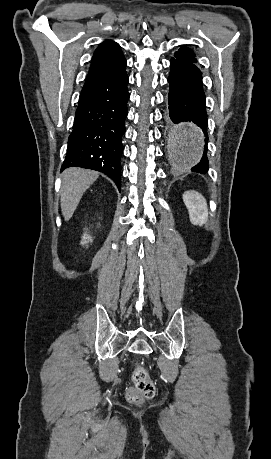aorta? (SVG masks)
Here are the masks:
<instances>
[{"label": "aorta", "mask_w": 271, "mask_h": 459, "mask_svg": "<svg viewBox=\"0 0 271 459\" xmlns=\"http://www.w3.org/2000/svg\"><path fill=\"white\" fill-rule=\"evenodd\" d=\"M203 150V136L196 126L183 125L170 129L167 152L175 169H190L200 161Z\"/></svg>", "instance_id": "obj_1"}]
</instances>
